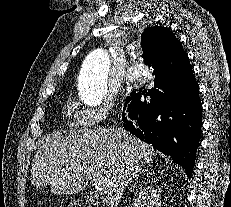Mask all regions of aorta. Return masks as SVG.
<instances>
[{
    "mask_svg": "<svg viewBox=\"0 0 231 207\" xmlns=\"http://www.w3.org/2000/svg\"><path fill=\"white\" fill-rule=\"evenodd\" d=\"M110 68L108 52L102 48L91 51L80 71L78 80L79 97L88 106H99L105 100Z\"/></svg>",
    "mask_w": 231,
    "mask_h": 207,
    "instance_id": "aorta-1",
    "label": "aorta"
}]
</instances>
